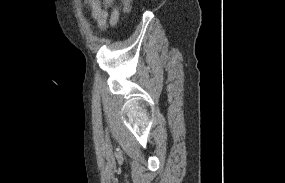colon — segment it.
Here are the masks:
<instances>
[{"label":"colon","instance_id":"colon-1","mask_svg":"<svg viewBox=\"0 0 285 183\" xmlns=\"http://www.w3.org/2000/svg\"><path fill=\"white\" fill-rule=\"evenodd\" d=\"M133 0H121L124 8H125V11H129L130 10V6H131V3H132Z\"/></svg>","mask_w":285,"mask_h":183}]
</instances>
